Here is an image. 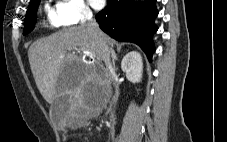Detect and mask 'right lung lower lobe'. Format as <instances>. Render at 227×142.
<instances>
[{
  "mask_svg": "<svg viewBox=\"0 0 227 142\" xmlns=\"http://www.w3.org/2000/svg\"><path fill=\"white\" fill-rule=\"evenodd\" d=\"M155 1L108 0V6L96 15V20L112 38L136 43L151 60L155 51L152 36L158 30Z\"/></svg>",
  "mask_w": 227,
  "mask_h": 142,
  "instance_id": "obj_1",
  "label": "right lung lower lobe"
}]
</instances>
